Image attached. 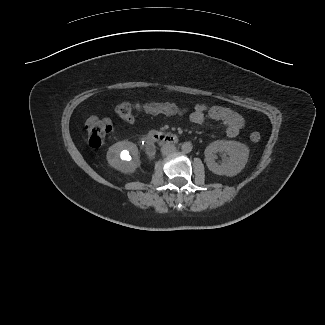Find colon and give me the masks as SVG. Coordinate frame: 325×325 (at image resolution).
<instances>
[{
	"label": "colon",
	"mask_w": 325,
	"mask_h": 325,
	"mask_svg": "<svg viewBox=\"0 0 325 325\" xmlns=\"http://www.w3.org/2000/svg\"><path fill=\"white\" fill-rule=\"evenodd\" d=\"M116 114L125 121H132L136 112L144 113L150 116H165V117H181L187 113V108L184 105L175 102H142L130 103L123 102L115 109ZM88 144L93 148L100 147L106 136L112 130V124L108 119L92 116L85 123ZM261 135L258 131L250 133V140L258 142Z\"/></svg>",
	"instance_id": "obj_1"
}]
</instances>
